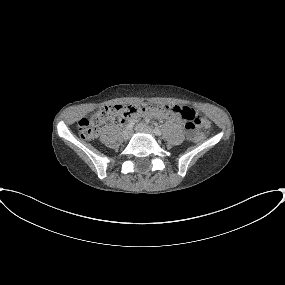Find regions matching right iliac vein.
<instances>
[{"mask_svg":"<svg viewBox=\"0 0 285 285\" xmlns=\"http://www.w3.org/2000/svg\"><path fill=\"white\" fill-rule=\"evenodd\" d=\"M131 135H132V130H130V129H125L124 130L123 137H124L125 140H129Z\"/></svg>","mask_w":285,"mask_h":285,"instance_id":"63e3f726","label":"right iliac vein"}]
</instances>
